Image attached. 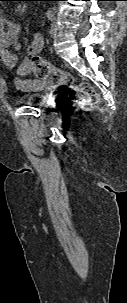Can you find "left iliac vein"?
I'll list each match as a JSON object with an SVG mask.
<instances>
[{
  "label": "left iliac vein",
  "instance_id": "1",
  "mask_svg": "<svg viewBox=\"0 0 127 303\" xmlns=\"http://www.w3.org/2000/svg\"><path fill=\"white\" fill-rule=\"evenodd\" d=\"M50 35L53 38L57 35V24L55 22H53L50 27Z\"/></svg>",
  "mask_w": 127,
  "mask_h": 303
}]
</instances>
